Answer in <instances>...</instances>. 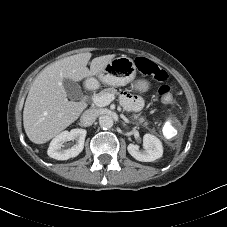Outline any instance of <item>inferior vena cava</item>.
<instances>
[{
    "mask_svg": "<svg viewBox=\"0 0 227 227\" xmlns=\"http://www.w3.org/2000/svg\"><path fill=\"white\" fill-rule=\"evenodd\" d=\"M98 117V112L95 109H89L83 113L80 118L82 126H91Z\"/></svg>",
    "mask_w": 227,
    "mask_h": 227,
    "instance_id": "inferior-vena-cava-1",
    "label": "inferior vena cava"
}]
</instances>
